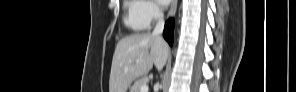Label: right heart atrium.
<instances>
[{"label": "right heart atrium", "mask_w": 296, "mask_h": 92, "mask_svg": "<svg viewBox=\"0 0 296 92\" xmlns=\"http://www.w3.org/2000/svg\"><path fill=\"white\" fill-rule=\"evenodd\" d=\"M138 4L140 19L147 26L161 18L162 11L154 1L142 0L138 1Z\"/></svg>", "instance_id": "obj_1"}]
</instances>
